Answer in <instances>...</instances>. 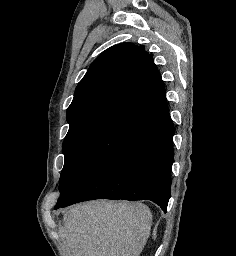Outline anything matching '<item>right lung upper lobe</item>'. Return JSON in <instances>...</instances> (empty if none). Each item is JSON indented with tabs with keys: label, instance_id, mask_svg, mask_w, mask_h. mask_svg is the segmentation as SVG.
<instances>
[{
	"label": "right lung upper lobe",
	"instance_id": "obj_1",
	"mask_svg": "<svg viewBox=\"0 0 236 256\" xmlns=\"http://www.w3.org/2000/svg\"><path fill=\"white\" fill-rule=\"evenodd\" d=\"M126 113L149 124L168 115L165 88L151 55L121 43L101 53L76 87L67 121Z\"/></svg>",
	"mask_w": 236,
	"mask_h": 256
}]
</instances>
